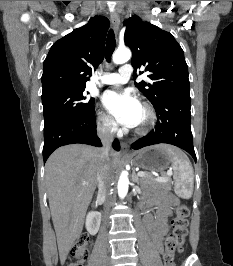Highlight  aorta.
Segmentation results:
<instances>
[{
    "label": "aorta",
    "instance_id": "obj_1",
    "mask_svg": "<svg viewBox=\"0 0 233 266\" xmlns=\"http://www.w3.org/2000/svg\"><path fill=\"white\" fill-rule=\"evenodd\" d=\"M131 51L128 48H119L115 51L112 57V61L115 64H123L130 60ZM129 187V179L128 173L123 171L118 180V195L121 199H123L128 193Z\"/></svg>",
    "mask_w": 233,
    "mask_h": 266
}]
</instances>
